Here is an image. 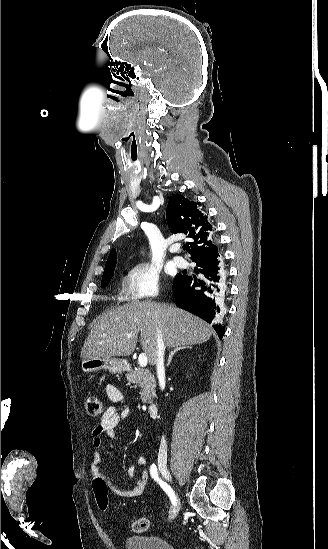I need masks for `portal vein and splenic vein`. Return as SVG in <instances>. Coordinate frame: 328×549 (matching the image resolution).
<instances>
[{"label": "portal vein and splenic vein", "instance_id": "obj_1", "mask_svg": "<svg viewBox=\"0 0 328 549\" xmlns=\"http://www.w3.org/2000/svg\"><path fill=\"white\" fill-rule=\"evenodd\" d=\"M127 337H132V335H127ZM147 363L148 359L145 353H141V355H139L138 357V365H140V367H146Z\"/></svg>", "mask_w": 328, "mask_h": 549}]
</instances>
